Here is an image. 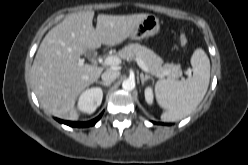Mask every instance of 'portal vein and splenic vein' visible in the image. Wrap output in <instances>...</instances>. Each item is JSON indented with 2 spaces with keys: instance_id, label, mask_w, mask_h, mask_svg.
I'll list each match as a JSON object with an SVG mask.
<instances>
[{
  "instance_id": "portal-vein-and-splenic-vein-1",
  "label": "portal vein and splenic vein",
  "mask_w": 248,
  "mask_h": 165,
  "mask_svg": "<svg viewBox=\"0 0 248 165\" xmlns=\"http://www.w3.org/2000/svg\"><path fill=\"white\" fill-rule=\"evenodd\" d=\"M136 62L138 64V66L146 73L149 72V69L148 67L145 65V63L142 61L141 58L137 57L136 59ZM121 63V59L117 56H108L105 58L104 60V64L106 65H113V66H116V65H119ZM186 74L187 75H191V72L190 71H186Z\"/></svg>"
}]
</instances>
